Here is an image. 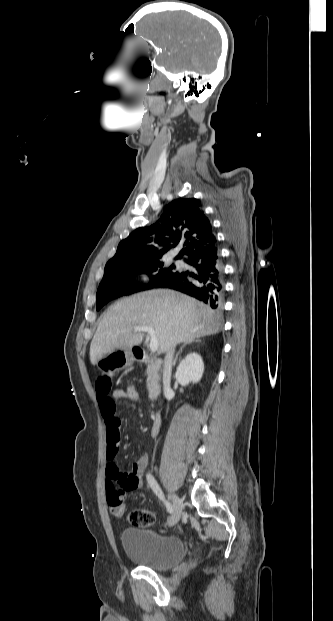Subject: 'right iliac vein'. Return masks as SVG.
Masks as SVG:
<instances>
[{
	"instance_id": "obj_1",
	"label": "right iliac vein",
	"mask_w": 333,
	"mask_h": 621,
	"mask_svg": "<svg viewBox=\"0 0 333 621\" xmlns=\"http://www.w3.org/2000/svg\"><path fill=\"white\" fill-rule=\"evenodd\" d=\"M171 499H172V504H173V513L169 521V525L173 526L179 521L181 517L183 503H182V500L175 494H172Z\"/></svg>"
}]
</instances>
